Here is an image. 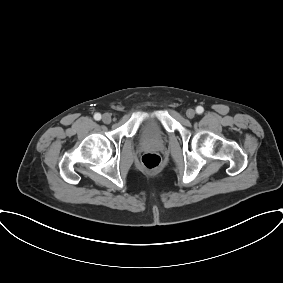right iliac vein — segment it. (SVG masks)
Instances as JSON below:
<instances>
[{
    "label": "right iliac vein",
    "mask_w": 283,
    "mask_h": 283,
    "mask_svg": "<svg viewBox=\"0 0 283 283\" xmlns=\"http://www.w3.org/2000/svg\"><path fill=\"white\" fill-rule=\"evenodd\" d=\"M102 121L105 123V124H109L111 122V115L108 114V113H105L103 116H102Z\"/></svg>",
    "instance_id": "obj_1"
}]
</instances>
